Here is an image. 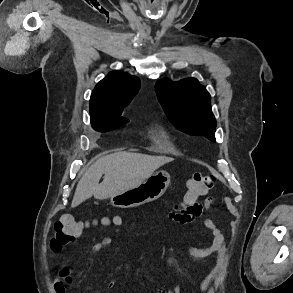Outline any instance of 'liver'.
<instances>
[{"instance_id":"obj_1","label":"liver","mask_w":293,"mask_h":293,"mask_svg":"<svg viewBox=\"0 0 293 293\" xmlns=\"http://www.w3.org/2000/svg\"><path fill=\"white\" fill-rule=\"evenodd\" d=\"M172 160L165 156L129 152H117L101 157L84 169L71 207L78 206L93 195L98 200H104L134 188ZM103 174L104 179L99 184Z\"/></svg>"}]
</instances>
